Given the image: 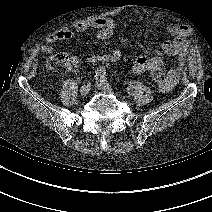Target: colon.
<instances>
[{"label": "colon", "instance_id": "5ec220e1", "mask_svg": "<svg viewBox=\"0 0 212 212\" xmlns=\"http://www.w3.org/2000/svg\"><path fill=\"white\" fill-rule=\"evenodd\" d=\"M46 66L58 73H75L80 68L79 58L74 54L56 53L46 59ZM150 78L158 83H163L166 79L161 66L154 67L149 72Z\"/></svg>", "mask_w": 212, "mask_h": 212}]
</instances>
